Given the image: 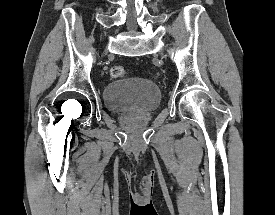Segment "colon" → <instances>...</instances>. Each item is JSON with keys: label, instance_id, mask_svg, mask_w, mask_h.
I'll use <instances>...</instances> for the list:
<instances>
[{"label": "colon", "instance_id": "5ec220e1", "mask_svg": "<svg viewBox=\"0 0 275 215\" xmlns=\"http://www.w3.org/2000/svg\"><path fill=\"white\" fill-rule=\"evenodd\" d=\"M110 76L112 78H124L126 76V71L123 66L115 65L110 68Z\"/></svg>", "mask_w": 275, "mask_h": 215}]
</instances>
